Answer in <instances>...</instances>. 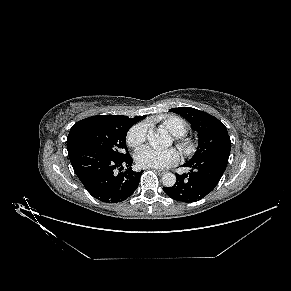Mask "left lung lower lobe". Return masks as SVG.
Instances as JSON below:
<instances>
[{"mask_svg":"<svg viewBox=\"0 0 291 291\" xmlns=\"http://www.w3.org/2000/svg\"><path fill=\"white\" fill-rule=\"evenodd\" d=\"M228 163L226 156H211L196 162H187L188 174H176V183L164 187V192L180 202H196L207 196L218 184Z\"/></svg>","mask_w":291,"mask_h":291,"instance_id":"left-lung-lower-lobe-1","label":"left lung lower lobe"}]
</instances>
